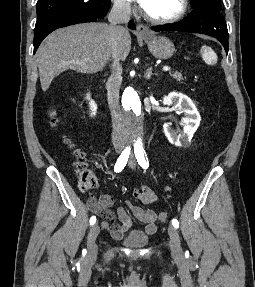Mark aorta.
I'll return each mask as SVG.
<instances>
[{
    "label": "aorta",
    "mask_w": 255,
    "mask_h": 287,
    "mask_svg": "<svg viewBox=\"0 0 255 287\" xmlns=\"http://www.w3.org/2000/svg\"><path fill=\"white\" fill-rule=\"evenodd\" d=\"M122 100L128 117L129 135L136 145H141L143 107L140 98L133 88L127 87L123 92Z\"/></svg>",
    "instance_id": "obj_1"
}]
</instances>
